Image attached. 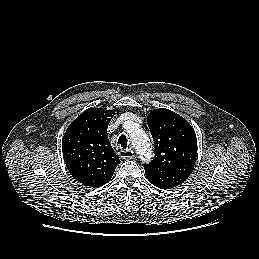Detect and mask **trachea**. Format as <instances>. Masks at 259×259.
<instances>
[{"instance_id": "3493384b", "label": "trachea", "mask_w": 259, "mask_h": 259, "mask_svg": "<svg viewBox=\"0 0 259 259\" xmlns=\"http://www.w3.org/2000/svg\"><path fill=\"white\" fill-rule=\"evenodd\" d=\"M118 144L119 146H121L122 148H126L127 147V138L125 135H121L118 139Z\"/></svg>"}]
</instances>
